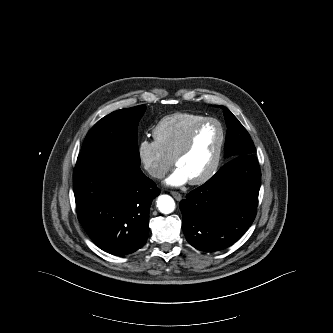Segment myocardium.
<instances>
[{"mask_svg": "<svg viewBox=\"0 0 333 333\" xmlns=\"http://www.w3.org/2000/svg\"><path fill=\"white\" fill-rule=\"evenodd\" d=\"M210 123L216 124L220 130V142H219L218 150L216 153V157H215L212 165L210 166V168L203 175H201L200 177H198L194 180L189 181V183L191 185H202V184L206 183L217 173V171L220 167V164H221V161L223 158L224 147H225V143H226V131H225V128H224L223 124L221 123V121L216 118L210 117V118H205L202 121H200L199 123H197L191 129V131L189 132L185 141L183 142L181 147L176 151V153L173 156V164L176 165L177 161L190 151V149L192 148V146L194 144L196 135L200 131V129H202L204 126H206Z\"/></svg>", "mask_w": 333, "mask_h": 333, "instance_id": "myocardium-1", "label": "myocardium"}]
</instances>
